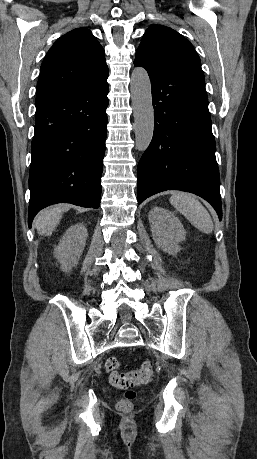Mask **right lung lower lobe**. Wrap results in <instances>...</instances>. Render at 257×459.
Returning a JSON list of instances; mask_svg holds the SVG:
<instances>
[{"label":"right lung lower lobe","mask_w":257,"mask_h":459,"mask_svg":"<svg viewBox=\"0 0 257 459\" xmlns=\"http://www.w3.org/2000/svg\"><path fill=\"white\" fill-rule=\"evenodd\" d=\"M107 77L80 90L35 101L29 227L34 216L52 204L99 208L107 133Z\"/></svg>","instance_id":"1"}]
</instances>
